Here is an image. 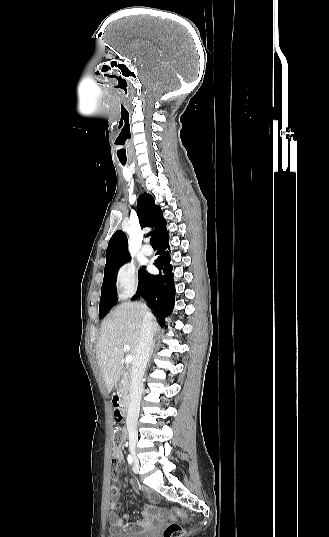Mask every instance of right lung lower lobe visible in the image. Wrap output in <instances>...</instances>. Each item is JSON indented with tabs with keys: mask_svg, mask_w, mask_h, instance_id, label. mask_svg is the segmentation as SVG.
I'll return each mask as SVG.
<instances>
[{
	"mask_svg": "<svg viewBox=\"0 0 329 537\" xmlns=\"http://www.w3.org/2000/svg\"><path fill=\"white\" fill-rule=\"evenodd\" d=\"M168 236L166 232L157 240L159 256L154 265L159 269V274L151 275L142 269L137 293L132 298L142 296L153 309L160 324H164L165 317L172 313L175 301L174 275L171 272L169 251L166 250L169 246Z\"/></svg>",
	"mask_w": 329,
	"mask_h": 537,
	"instance_id": "1",
	"label": "right lung lower lobe"
}]
</instances>
